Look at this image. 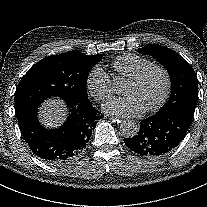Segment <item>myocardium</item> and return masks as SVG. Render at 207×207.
<instances>
[{
  "mask_svg": "<svg viewBox=\"0 0 207 207\" xmlns=\"http://www.w3.org/2000/svg\"><path fill=\"white\" fill-rule=\"evenodd\" d=\"M153 70H158L160 71L164 78H165V88H164V92L162 97L160 98V100L152 107L145 109L142 114L143 115H148V114H153L156 113L157 111H159L167 102L169 96H170V92L172 89V77L170 72L167 70V68H165L164 66L160 65V64H151L145 68H143L141 71H139L137 74H135L134 76H132L131 78H129L127 80L128 83H132V84H138L139 82H141L145 76L153 71Z\"/></svg>",
  "mask_w": 207,
  "mask_h": 207,
  "instance_id": "f54148a6",
  "label": "myocardium"
}]
</instances>
